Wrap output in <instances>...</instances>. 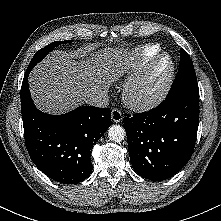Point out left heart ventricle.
Wrapping results in <instances>:
<instances>
[{
    "instance_id": "obj_1",
    "label": "left heart ventricle",
    "mask_w": 221,
    "mask_h": 221,
    "mask_svg": "<svg viewBox=\"0 0 221 221\" xmlns=\"http://www.w3.org/2000/svg\"><path fill=\"white\" fill-rule=\"evenodd\" d=\"M170 68V63L167 58L160 60L152 70L151 74L141 86L139 93L142 96H149L156 92L166 79Z\"/></svg>"
}]
</instances>
